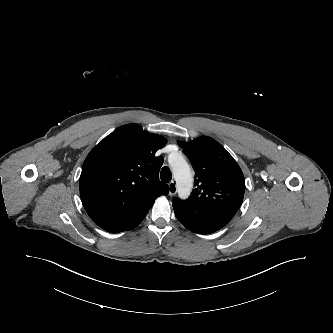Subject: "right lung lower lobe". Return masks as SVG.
<instances>
[{"instance_id":"obj_1","label":"right lung lower lobe","mask_w":333,"mask_h":333,"mask_svg":"<svg viewBox=\"0 0 333 333\" xmlns=\"http://www.w3.org/2000/svg\"><path fill=\"white\" fill-rule=\"evenodd\" d=\"M139 224H140V222L137 223V224H135V225H133V226H131V227H129V228H127V229H125V230H131V229L135 228ZM121 231H124V230H121ZM117 232H120V231H116V232H113V233H117Z\"/></svg>"}]
</instances>
